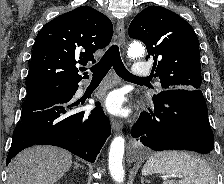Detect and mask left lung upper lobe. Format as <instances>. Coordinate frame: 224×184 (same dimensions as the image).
<instances>
[{
    "mask_svg": "<svg viewBox=\"0 0 224 184\" xmlns=\"http://www.w3.org/2000/svg\"><path fill=\"white\" fill-rule=\"evenodd\" d=\"M129 37L145 43L146 59L154 60V76L160 79L162 90L200 89L199 41L179 15L161 6L147 7L132 20Z\"/></svg>",
    "mask_w": 224,
    "mask_h": 184,
    "instance_id": "1",
    "label": "left lung upper lobe"
}]
</instances>
